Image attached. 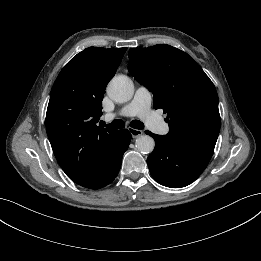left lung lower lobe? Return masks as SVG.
I'll return each instance as SVG.
<instances>
[{
    "instance_id": "obj_1",
    "label": "left lung lower lobe",
    "mask_w": 261,
    "mask_h": 261,
    "mask_svg": "<svg viewBox=\"0 0 261 261\" xmlns=\"http://www.w3.org/2000/svg\"><path fill=\"white\" fill-rule=\"evenodd\" d=\"M146 133L155 140V148L147 158L150 173L167 187L180 188L195 181L213 155L212 147L188 145L167 135Z\"/></svg>"
}]
</instances>
